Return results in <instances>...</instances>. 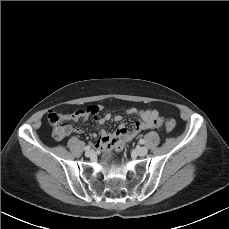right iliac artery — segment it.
Here are the masks:
<instances>
[{
	"label": "right iliac artery",
	"mask_w": 229,
	"mask_h": 229,
	"mask_svg": "<svg viewBox=\"0 0 229 229\" xmlns=\"http://www.w3.org/2000/svg\"><path fill=\"white\" fill-rule=\"evenodd\" d=\"M91 147H92V145H87V146L84 148V150H85V151H88V150L91 149Z\"/></svg>",
	"instance_id": "obj_1"
}]
</instances>
